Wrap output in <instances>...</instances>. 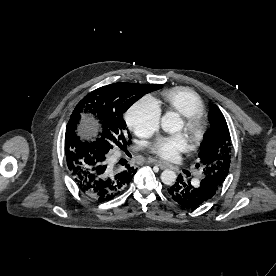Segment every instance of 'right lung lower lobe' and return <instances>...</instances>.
Returning <instances> with one entry per match:
<instances>
[{"label": "right lung lower lobe", "instance_id": "right-lung-lower-lobe-1", "mask_svg": "<svg viewBox=\"0 0 276 276\" xmlns=\"http://www.w3.org/2000/svg\"><path fill=\"white\" fill-rule=\"evenodd\" d=\"M65 155L72 179L81 193L97 202L117 197L130 183L136 169L113 170L96 141H81L79 137L65 135Z\"/></svg>", "mask_w": 276, "mask_h": 276}]
</instances>
